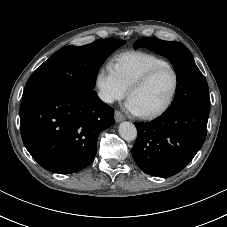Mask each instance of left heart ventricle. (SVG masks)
<instances>
[{"mask_svg":"<svg viewBox=\"0 0 227 227\" xmlns=\"http://www.w3.org/2000/svg\"><path fill=\"white\" fill-rule=\"evenodd\" d=\"M174 86V76L168 69L157 73L145 86L132 93L130 98L141 113L160 108L168 100Z\"/></svg>","mask_w":227,"mask_h":227,"instance_id":"b2bd125f","label":"left heart ventricle"}]
</instances>
